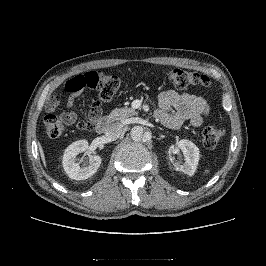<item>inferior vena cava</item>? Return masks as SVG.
I'll list each match as a JSON object with an SVG mask.
<instances>
[{"instance_id":"602c4592","label":"inferior vena cava","mask_w":266,"mask_h":266,"mask_svg":"<svg viewBox=\"0 0 266 266\" xmlns=\"http://www.w3.org/2000/svg\"><path fill=\"white\" fill-rule=\"evenodd\" d=\"M123 124L122 123H112L110 124L105 132V136L109 141H114L118 139L122 133Z\"/></svg>"}]
</instances>
